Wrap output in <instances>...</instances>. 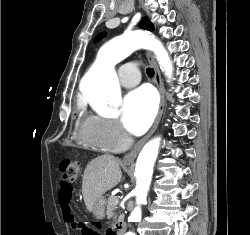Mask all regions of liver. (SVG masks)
I'll return each instance as SVG.
<instances>
[{
  "instance_id": "liver-1",
  "label": "liver",
  "mask_w": 250,
  "mask_h": 235,
  "mask_svg": "<svg viewBox=\"0 0 250 235\" xmlns=\"http://www.w3.org/2000/svg\"><path fill=\"white\" fill-rule=\"evenodd\" d=\"M122 178L120 161L112 155L99 156L88 163L82 180V194L88 211L95 201L119 184Z\"/></svg>"
}]
</instances>
